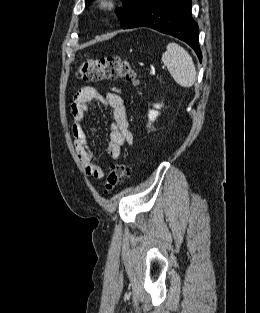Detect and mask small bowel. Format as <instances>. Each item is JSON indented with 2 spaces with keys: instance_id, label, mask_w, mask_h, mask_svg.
Returning a JSON list of instances; mask_svg holds the SVG:
<instances>
[{
  "instance_id": "small-bowel-1",
  "label": "small bowel",
  "mask_w": 260,
  "mask_h": 313,
  "mask_svg": "<svg viewBox=\"0 0 260 313\" xmlns=\"http://www.w3.org/2000/svg\"><path fill=\"white\" fill-rule=\"evenodd\" d=\"M93 100L103 102L112 110V124L107 145V154L110 158L119 159L121 148L125 144H131L133 137L128 127L125 102L119 89L114 88L105 95H101L93 86H83L79 89L71 105L74 145L85 174L101 179L104 177V170L93 161V153L83 126Z\"/></svg>"
}]
</instances>
